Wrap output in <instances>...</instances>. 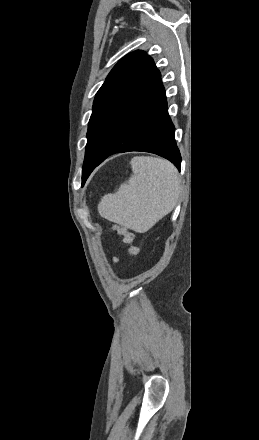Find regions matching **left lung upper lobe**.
<instances>
[{
    "label": "left lung upper lobe",
    "mask_w": 259,
    "mask_h": 440,
    "mask_svg": "<svg viewBox=\"0 0 259 440\" xmlns=\"http://www.w3.org/2000/svg\"><path fill=\"white\" fill-rule=\"evenodd\" d=\"M157 68L144 51L122 58L98 90L88 124L87 145L82 170L84 183L117 126L151 82Z\"/></svg>",
    "instance_id": "5c2ea615"
}]
</instances>
